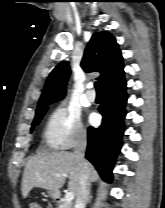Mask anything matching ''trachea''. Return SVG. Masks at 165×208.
<instances>
[{
    "mask_svg": "<svg viewBox=\"0 0 165 208\" xmlns=\"http://www.w3.org/2000/svg\"><path fill=\"white\" fill-rule=\"evenodd\" d=\"M94 86H95V89H96L97 92H101V88H100V83L99 82H95Z\"/></svg>",
    "mask_w": 165,
    "mask_h": 208,
    "instance_id": "3493384b",
    "label": "trachea"
}]
</instances>
